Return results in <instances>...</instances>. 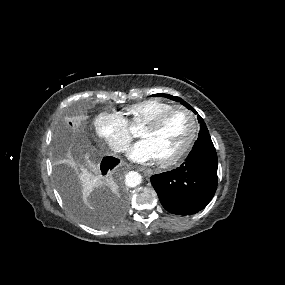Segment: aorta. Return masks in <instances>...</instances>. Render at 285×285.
<instances>
[{
    "mask_svg": "<svg viewBox=\"0 0 285 285\" xmlns=\"http://www.w3.org/2000/svg\"><path fill=\"white\" fill-rule=\"evenodd\" d=\"M142 181V177L139 173L131 171L126 175L125 182L129 187H136Z\"/></svg>",
    "mask_w": 285,
    "mask_h": 285,
    "instance_id": "aorta-1",
    "label": "aorta"
}]
</instances>
